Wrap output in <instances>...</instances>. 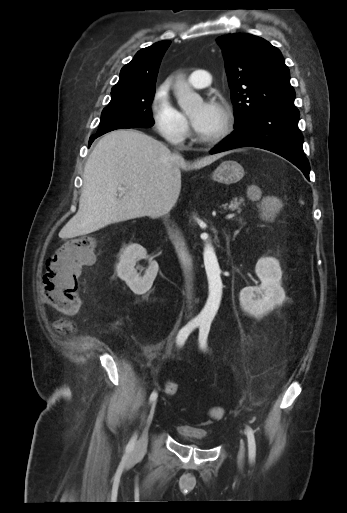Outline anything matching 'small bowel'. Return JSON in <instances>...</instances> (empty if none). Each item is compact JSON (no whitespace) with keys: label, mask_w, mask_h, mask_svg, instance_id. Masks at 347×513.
I'll return each mask as SVG.
<instances>
[{"label":"small bowel","mask_w":347,"mask_h":513,"mask_svg":"<svg viewBox=\"0 0 347 513\" xmlns=\"http://www.w3.org/2000/svg\"><path fill=\"white\" fill-rule=\"evenodd\" d=\"M55 325L59 332H61L64 335H70L74 331L73 324L67 320V319H57L55 321ZM163 351V344L162 342L148 346L145 348V352L148 354V356L152 359H156L162 355Z\"/></svg>","instance_id":"obj_1"}]
</instances>
